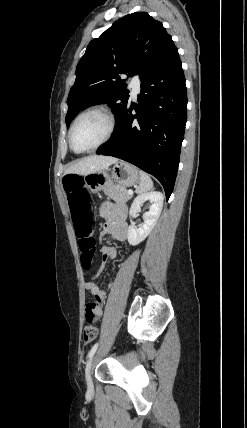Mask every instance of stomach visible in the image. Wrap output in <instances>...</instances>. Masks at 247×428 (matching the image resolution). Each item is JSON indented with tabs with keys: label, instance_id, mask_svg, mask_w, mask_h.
I'll return each instance as SVG.
<instances>
[{
	"label": "stomach",
	"instance_id": "stomach-1",
	"mask_svg": "<svg viewBox=\"0 0 247 428\" xmlns=\"http://www.w3.org/2000/svg\"><path fill=\"white\" fill-rule=\"evenodd\" d=\"M85 185L91 193H99L113 185L132 186L140 179L139 170L130 163L118 161L112 169L105 168L83 177Z\"/></svg>",
	"mask_w": 247,
	"mask_h": 428
}]
</instances>
